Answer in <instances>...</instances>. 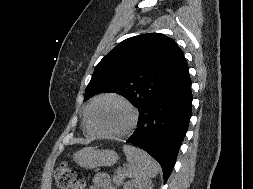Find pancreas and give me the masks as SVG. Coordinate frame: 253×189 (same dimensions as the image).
Listing matches in <instances>:
<instances>
[{"instance_id": "obj_1", "label": "pancreas", "mask_w": 253, "mask_h": 189, "mask_svg": "<svg viewBox=\"0 0 253 189\" xmlns=\"http://www.w3.org/2000/svg\"><path fill=\"white\" fill-rule=\"evenodd\" d=\"M124 178H125L124 173L120 171L116 172V174L112 178V181L116 186H120L122 185Z\"/></svg>"}]
</instances>
